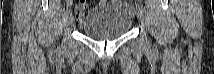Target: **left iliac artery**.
I'll use <instances>...</instances> for the list:
<instances>
[{"label": "left iliac artery", "instance_id": "left-iliac-artery-1", "mask_svg": "<svg viewBox=\"0 0 214 74\" xmlns=\"http://www.w3.org/2000/svg\"><path fill=\"white\" fill-rule=\"evenodd\" d=\"M144 9L143 5L139 6V10L144 11Z\"/></svg>", "mask_w": 214, "mask_h": 74}]
</instances>
